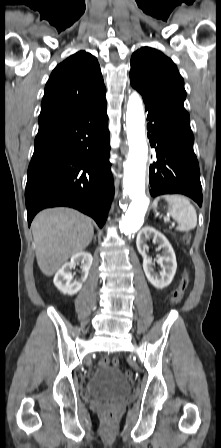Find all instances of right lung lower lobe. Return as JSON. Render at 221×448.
Returning a JSON list of instances; mask_svg holds the SVG:
<instances>
[{"instance_id": "98d812e1", "label": "right lung lower lobe", "mask_w": 221, "mask_h": 448, "mask_svg": "<svg viewBox=\"0 0 221 448\" xmlns=\"http://www.w3.org/2000/svg\"><path fill=\"white\" fill-rule=\"evenodd\" d=\"M25 190L28 225L40 210L69 206L102 227L114 194L106 99L38 131Z\"/></svg>"}]
</instances>
